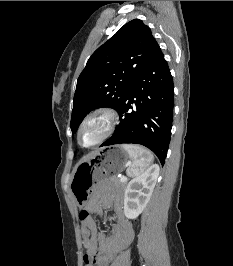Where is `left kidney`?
Wrapping results in <instances>:
<instances>
[{"mask_svg": "<svg viewBox=\"0 0 233 266\" xmlns=\"http://www.w3.org/2000/svg\"><path fill=\"white\" fill-rule=\"evenodd\" d=\"M158 175L159 166L155 164L128 183L124 195V214L128 219H135L142 213L150 200Z\"/></svg>", "mask_w": 233, "mask_h": 266, "instance_id": "left-kidney-1", "label": "left kidney"}]
</instances>
